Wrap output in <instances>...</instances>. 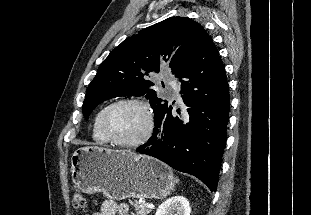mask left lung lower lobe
Wrapping results in <instances>:
<instances>
[{
    "label": "left lung lower lobe",
    "instance_id": "1",
    "mask_svg": "<svg viewBox=\"0 0 311 215\" xmlns=\"http://www.w3.org/2000/svg\"><path fill=\"white\" fill-rule=\"evenodd\" d=\"M176 77L184 110L172 114L167 103L155 116L152 136L136 151L194 175L216 191L230 104L224 65L209 35Z\"/></svg>",
    "mask_w": 311,
    "mask_h": 215
}]
</instances>
